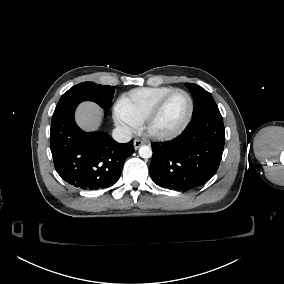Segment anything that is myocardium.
Masks as SVG:
<instances>
[{
  "mask_svg": "<svg viewBox=\"0 0 284 284\" xmlns=\"http://www.w3.org/2000/svg\"><path fill=\"white\" fill-rule=\"evenodd\" d=\"M176 92H183L188 101H189V111L187 114L186 119L184 120V122L182 123V125L175 131L168 133V134H156L154 132L151 131L150 129V124L152 122V120L159 114V112L162 110L165 102L167 101V99L173 95ZM194 114V101L192 96L190 95V93L188 91H186L183 88H175L171 91H169L168 93L164 94L145 114V116L143 117V119L140 121V125L142 127V130L144 131V133L152 139L158 140V141H168V140H172L176 137H178L180 134L183 133V131L187 128V126L189 125V123L191 122V119L193 117Z\"/></svg>",
  "mask_w": 284,
  "mask_h": 284,
  "instance_id": "f54148a6",
  "label": "myocardium"
}]
</instances>
